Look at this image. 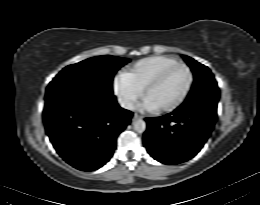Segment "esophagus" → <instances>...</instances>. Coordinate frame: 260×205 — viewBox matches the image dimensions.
<instances>
[{
    "label": "esophagus",
    "mask_w": 260,
    "mask_h": 205,
    "mask_svg": "<svg viewBox=\"0 0 260 205\" xmlns=\"http://www.w3.org/2000/svg\"><path fill=\"white\" fill-rule=\"evenodd\" d=\"M142 118H143V117H142L141 115H139L138 113H135V114L133 115L132 120L135 121V120L142 119Z\"/></svg>",
    "instance_id": "obj_1"
}]
</instances>
